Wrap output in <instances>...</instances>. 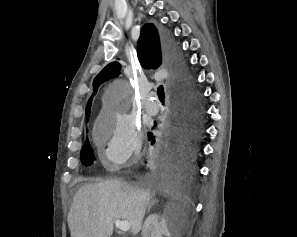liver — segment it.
<instances>
[{
  "instance_id": "liver-1",
  "label": "liver",
  "mask_w": 297,
  "mask_h": 237,
  "mask_svg": "<svg viewBox=\"0 0 297 237\" xmlns=\"http://www.w3.org/2000/svg\"><path fill=\"white\" fill-rule=\"evenodd\" d=\"M152 194L120 180L86 184L74 195L68 213L71 237H111L115 220L130 223L137 235Z\"/></svg>"
}]
</instances>
